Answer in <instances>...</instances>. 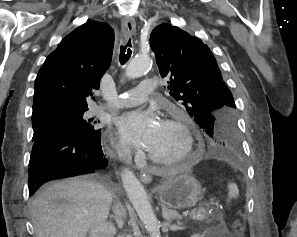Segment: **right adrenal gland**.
Returning <instances> with one entry per match:
<instances>
[{"label": "right adrenal gland", "mask_w": 297, "mask_h": 237, "mask_svg": "<svg viewBox=\"0 0 297 237\" xmlns=\"http://www.w3.org/2000/svg\"><path fill=\"white\" fill-rule=\"evenodd\" d=\"M117 205H119V201L114 200V206L112 207V210H113L114 214L110 215V218L115 220V222H116L119 229H122L124 222H123L122 218L119 217L117 215V213H116V206Z\"/></svg>", "instance_id": "right-adrenal-gland-1"}]
</instances>
